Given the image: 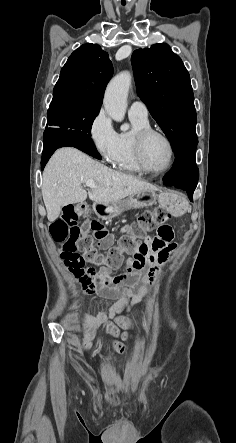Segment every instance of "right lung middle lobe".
<instances>
[{
    "mask_svg": "<svg viewBox=\"0 0 236 443\" xmlns=\"http://www.w3.org/2000/svg\"><path fill=\"white\" fill-rule=\"evenodd\" d=\"M98 112L99 109L79 107L69 103L50 104L45 131L63 129V133L92 140L91 127Z\"/></svg>",
    "mask_w": 236,
    "mask_h": 443,
    "instance_id": "right-lung-middle-lobe-1",
    "label": "right lung middle lobe"
}]
</instances>
